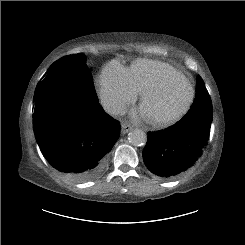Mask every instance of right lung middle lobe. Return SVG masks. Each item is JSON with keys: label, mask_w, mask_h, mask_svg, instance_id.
Wrapping results in <instances>:
<instances>
[{"label": "right lung middle lobe", "mask_w": 245, "mask_h": 245, "mask_svg": "<svg viewBox=\"0 0 245 245\" xmlns=\"http://www.w3.org/2000/svg\"><path fill=\"white\" fill-rule=\"evenodd\" d=\"M98 103L86 56L80 55L56 64L40 83L34 109V122L66 107Z\"/></svg>", "instance_id": "right-lung-middle-lobe-1"}]
</instances>
